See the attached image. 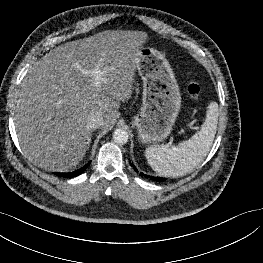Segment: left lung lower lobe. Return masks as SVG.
<instances>
[{"mask_svg": "<svg viewBox=\"0 0 263 263\" xmlns=\"http://www.w3.org/2000/svg\"><path fill=\"white\" fill-rule=\"evenodd\" d=\"M133 168H134V170L137 172V169L135 168V166H133ZM141 175H143V176H145V177H150V178L154 179L155 181H160V182H162V181L165 180V178L152 177V176L145 175V174H143V173H141Z\"/></svg>", "mask_w": 263, "mask_h": 263, "instance_id": "1", "label": "left lung lower lobe"}]
</instances>
